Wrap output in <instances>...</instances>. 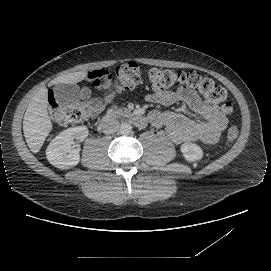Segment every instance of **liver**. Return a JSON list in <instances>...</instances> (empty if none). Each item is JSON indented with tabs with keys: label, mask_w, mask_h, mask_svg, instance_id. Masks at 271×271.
I'll use <instances>...</instances> for the list:
<instances>
[{
	"label": "liver",
	"mask_w": 271,
	"mask_h": 271,
	"mask_svg": "<svg viewBox=\"0 0 271 271\" xmlns=\"http://www.w3.org/2000/svg\"><path fill=\"white\" fill-rule=\"evenodd\" d=\"M84 78V72L66 73L54 79V83H76ZM47 89L42 87L33 97L24 114L23 131L27 145L33 153L41 149L51 128L46 111Z\"/></svg>",
	"instance_id": "obj_1"
}]
</instances>
